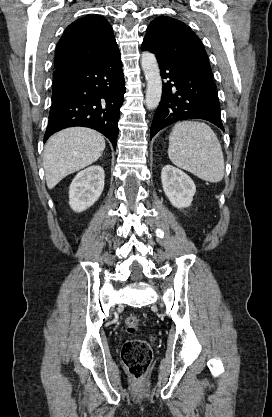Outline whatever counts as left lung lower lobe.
<instances>
[{
  "mask_svg": "<svg viewBox=\"0 0 272 417\" xmlns=\"http://www.w3.org/2000/svg\"><path fill=\"white\" fill-rule=\"evenodd\" d=\"M158 63L161 76L168 81L163 85L162 99L153 118L150 139L159 130L186 119L207 120L224 131L217 87L212 75L173 60L158 59Z\"/></svg>",
  "mask_w": 272,
  "mask_h": 417,
  "instance_id": "obj_1",
  "label": "left lung lower lobe"
}]
</instances>
